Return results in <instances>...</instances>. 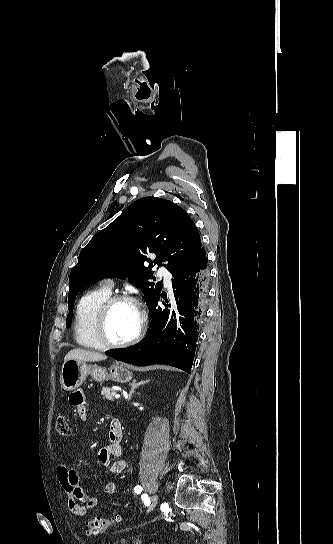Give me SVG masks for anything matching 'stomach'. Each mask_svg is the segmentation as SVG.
Here are the masks:
<instances>
[{
  "label": "stomach",
  "mask_w": 333,
  "mask_h": 544,
  "mask_svg": "<svg viewBox=\"0 0 333 544\" xmlns=\"http://www.w3.org/2000/svg\"><path fill=\"white\" fill-rule=\"evenodd\" d=\"M89 374L98 382L111 379L116 382L125 383L133 377V373L123 364L112 365L108 373L106 369L97 365L91 366L83 361L71 359L65 361L62 365L60 371L61 386L66 391L74 390L82 385Z\"/></svg>",
  "instance_id": "1"
}]
</instances>
